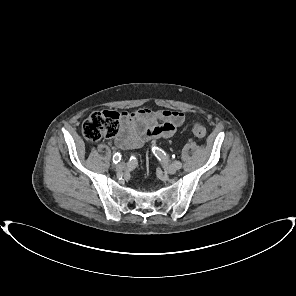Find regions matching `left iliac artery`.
Instances as JSON below:
<instances>
[{
	"label": "left iliac artery",
	"instance_id": "obj_1",
	"mask_svg": "<svg viewBox=\"0 0 296 296\" xmlns=\"http://www.w3.org/2000/svg\"><path fill=\"white\" fill-rule=\"evenodd\" d=\"M152 151L155 154V156H157V158H159V159L164 158L165 153L161 149H159L158 147H155V146L152 147ZM173 165L178 169H180L182 167V163L180 161H175L173 163Z\"/></svg>",
	"mask_w": 296,
	"mask_h": 296
}]
</instances>
